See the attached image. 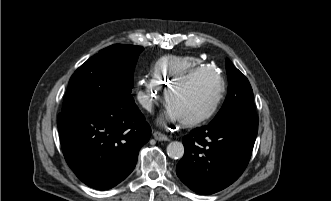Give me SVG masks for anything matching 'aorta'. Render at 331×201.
Masks as SVG:
<instances>
[{
    "label": "aorta",
    "instance_id": "762f6f07",
    "mask_svg": "<svg viewBox=\"0 0 331 201\" xmlns=\"http://www.w3.org/2000/svg\"><path fill=\"white\" fill-rule=\"evenodd\" d=\"M184 146L181 142L173 141L167 146V154L172 159H181L184 155Z\"/></svg>",
    "mask_w": 331,
    "mask_h": 201
}]
</instances>
